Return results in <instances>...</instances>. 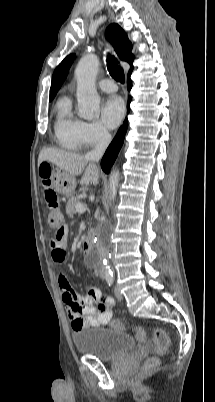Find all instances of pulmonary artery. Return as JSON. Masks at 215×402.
Masks as SVG:
<instances>
[{
  "label": "pulmonary artery",
  "instance_id": "e3ab8cb5",
  "mask_svg": "<svg viewBox=\"0 0 215 402\" xmlns=\"http://www.w3.org/2000/svg\"><path fill=\"white\" fill-rule=\"evenodd\" d=\"M99 87L108 93L115 92L117 90L116 84L110 79H102L98 83Z\"/></svg>",
  "mask_w": 215,
  "mask_h": 402
}]
</instances>
